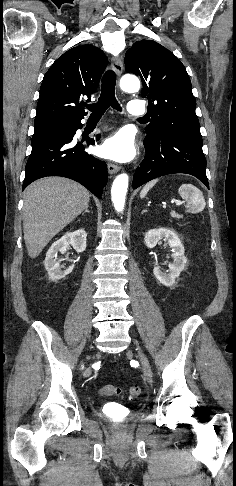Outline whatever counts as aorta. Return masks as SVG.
<instances>
[{
  "mask_svg": "<svg viewBox=\"0 0 236 486\" xmlns=\"http://www.w3.org/2000/svg\"><path fill=\"white\" fill-rule=\"evenodd\" d=\"M120 87L125 92H137L140 89V81L135 76H124L120 80ZM128 183L129 177L126 173L118 175L113 182L111 199L117 212L124 209Z\"/></svg>",
  "mask_w": 236,
  "mask_h": 486,
  "instance_id": "1",
  "label": "aorta"
}]
</instances>
